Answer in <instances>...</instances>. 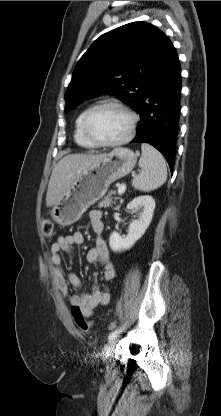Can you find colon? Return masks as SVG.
<instances>
[{
  "instance_id": "5ec220e1",
  "label": "colon",
  "mask_w": 221,
  "mask_h": 416,
  "mask_svg": "<svg viewBox=\"0 0 221 416\" xmlns=\"http://www.w3.org/2000/svg\"><path fill=\"white\" fill-rule=\"evenodd\" d=\"M53 223L51 220L46 219L42 224V231L45 237L49 238L53 234ZM72 316L75 320L77 326L84 332H88L91 329L90 322L85 318L81 309L78 306H73L71 308Z\"/></svg>"
}]
</instances>
